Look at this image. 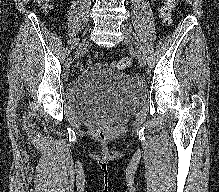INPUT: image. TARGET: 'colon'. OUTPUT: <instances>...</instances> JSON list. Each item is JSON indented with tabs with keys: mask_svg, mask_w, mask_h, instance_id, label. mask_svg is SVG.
Returning a JSON list of instances; mask_svg holds the SVG:
<instances>
[{
	"mask_svg": "<svg viewBox=\"0 0 219 192\" xmlns=\"http://www.w3.org/2000/svg\"><path fill=\"white\" fill-rule=\"evenodd\" d=\"M177 0H165L164 4L161 7V16L163 23L169 24L172 21V13L175 9ZM34 3L41 7L44 10H50L53 7V0H34ZM92 61L89 62V65H92ZM133 63L131 57H124L118 61L112 63V66L118 70H124L130 67Z\"/></svg>",
	"mask_w": 219,
	"mask_h": 192,
	"instance_id": "1",
	"label": "colon"
}]
</instances>
